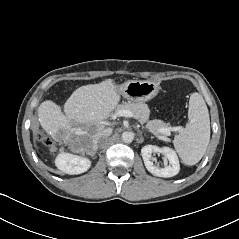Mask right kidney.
<instances>
[{
	"mask_svg": "<svg viewBox=\"0 0 239 239\" xmlns=\"http://www.w3.org/2000/svg\"><path fill=\"white\" fill-rule=\"evenodd\" d=\"M55 164L62 172L74 175L86 172L91 166V161L85 157L60 153L55 160Z\"/></svg>",
	"mask_w": 239,
	"mask_h": 239,
	"instance_id": "obj_1",
	"label": "right kidney"
}]
</instances>
